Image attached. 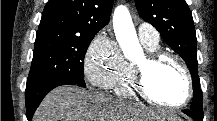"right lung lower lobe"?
I'll use <instances>...</instances> for the list:
<instances>
[{"label":"right lung lower lobe","mask_w":217,"mask_h":121,"mask_svg":"<svg viewBox=\"0 0 217 121\" xmlns=\"http://www.w3.org/2000/svg\"><path fill=\"white\" fill-rule=\"evenodd\" d=\"M61 85H76V83L65 77H55L43 80L33 86L26 88V116L28 121L32 120V116L41 103L45 95L57 86Z\"/></svg>","instance_id":"98d812e1"}]
</instances>
